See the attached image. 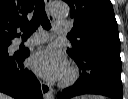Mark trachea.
Listing matches in <instances>:
<instances>
[{"instance_id":"1","label":"trachea","mask_w":128,"mask_h":99,"mask_svg":"<svg viewBox=\"0 0 128 99\" xmlns=\"http://www.w3.org/2000/svg\"><path fill=\"white\" fill-rule=\"evenodd\" d=\"M40 24L46 30L51 28L50 21L45 12V5L43 0H39L36 3L34 15L31 21L25 25H21V31L23 32L22 36L29 37L32 35V33L36 31Z\"/></svg>"}]
</instances>
